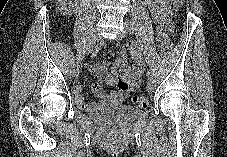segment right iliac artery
Segmentation results:
<instances>
[{"label": "right iliac artery", "mask_w": 227, "mask_h": 157, "mask_svg": "<svg viewBox=\"0 0 227 157\" xmlns=\"http://www.w3.org/2000/svg\"><path fill=\"white\" fill-rule=\"evenodd\" d=\"M87 42H90V41H87ZM100 49H101V46L99 45V43L97 41L93 42V45H91L89 48H80V50L76 54V57H75V60L73 61V64L78 65L79 62H80L81 56H83L84 53H96Z\"/></svg>", "instance_id": "82829eb1"}]
</instances>
